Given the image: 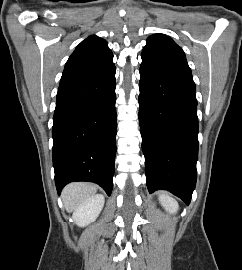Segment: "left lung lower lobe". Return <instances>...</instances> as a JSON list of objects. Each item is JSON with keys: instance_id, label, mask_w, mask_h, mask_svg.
<instances>
[{"instance_id": "obj_1", "label": "left lung lower lobe", "mask_w": 242, "mask_h": 270, "mask_svg": "<svg viewBox=\"0 0 242 270\" xmlns=\"http://www.w3.org/2000/svg\"><path fill=\"white\" fill-rule=\"evenodd\" d=\"M139 71V122L148 190H169L189 204L196 185L198 159L197 100L192 74L144 60Z\"/></svg>"}]
</instances>
